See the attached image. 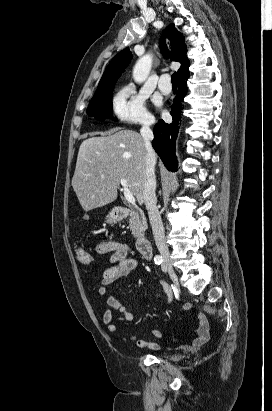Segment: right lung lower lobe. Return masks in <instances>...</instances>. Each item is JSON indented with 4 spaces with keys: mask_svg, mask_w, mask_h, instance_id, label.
Masks as SVG:
<instances>
[{
    "mask_svg": "<svg viewBox=\"0 0 272 411\" xmlns=\"http://www.w3.org/2000/svg\"><path fill=\"white\" fill-rule=\"evenodd\" d=\"M188 78L179 80L178 93L171 108V116L173 118V122L168 124L163 120H159V122L154 127V140L152 142L153 148L162 159L166 168L170 171L177 170L175 145L179 131L182 102L183 98L187 94Z\"/></svg>",
    "mask_w": 272,
    "mask_h": 411,
    "instance_id": "1",
    "label": "right lung lower lobe"
}]
</instances>
